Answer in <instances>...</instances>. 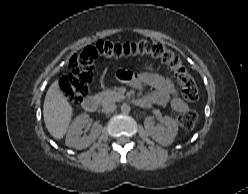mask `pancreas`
<instances>
[{
  "label": "pancreas",
  "mask_w": 248,
  "mask_h": 194,
  "mask_svg": "<svg viewBox=\"0 0 248 194\" xmlns=\"http://www.w3.org/2000/svg\"><path fill=\"white\" fill-rule=\"evenodd\" d=\"M98 97L100 98L102 104H106L110 102L120 101L124 98V95L114 89L101 92L98 94Z\"/></svg>",
  "instance_id": "1"
}]
</instances>
